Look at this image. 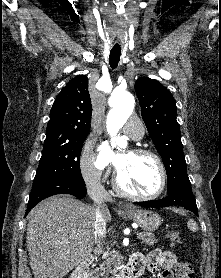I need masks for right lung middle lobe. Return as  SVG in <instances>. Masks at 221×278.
I'll return each instance as SVG.
<instances>
[{"mask_svg":"<svg viewBox=\"0 0 221 278\" xmlns=\"http://www.w3.org/2000/svg\"><path fill=\"white\" fill-rule=\"evenodd\" d=\"M86 137L44 143L31 192L62 179L84 182L80 171V154Z\"/></svg>","mask_w":221,"mask_h":278,"instance_id":"dd1d6c3e","label":"right lung middle lobe"}]
</instances>
